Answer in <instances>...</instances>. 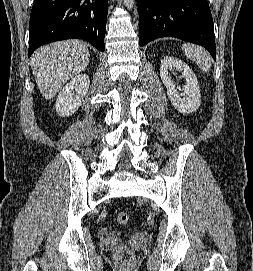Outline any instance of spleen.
I'll return each mask as SVG.
<instances>
[{"instance_id":"3e777b00","label":"spleen","mask_w":253,"mask_h":271,"mask_svg":"<svg viewBox=\"0 0 253 271\" xmlns=\"http://www.w3.org/2000/svg\"><path fill=\"white\" fill-rule=\"evenodd\" d=\"M182 49L185 51L186 56L192 61H195L203 72L210 70L211 58L203 48L188 43L183 44Z\"/></svg>"}]
</instances>
